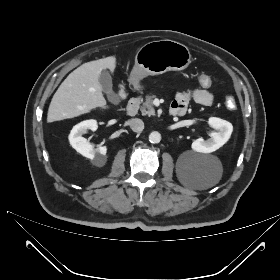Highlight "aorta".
I'll return each mask as SVG.
<instances>
[{"label":"aorta","mask_w":280,"mask_h":280,"mask_svg":"<svg viewBox=\"0 0 280 280\" xmlns=\"http://www.w3.org/2000/svg\"><path fill=\"white\" fill-rule=\"evenodd\" d=\"M161 140V134L157 131H153L149 134V141L153 144L159 143Z\"/></svg>","instance_id":"obj_1"}]
</instances>
